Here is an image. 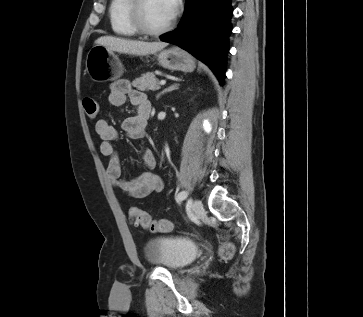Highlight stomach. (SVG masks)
<instances>
[{
  "mask_svg": "<svg viewBox=\"0 0 363 317\" xmlns=\"http://www.w3.org/2000/svg\"><path fill=\"white\" fill-rule=\"evenodd\" d=\"M159 64L171 71L192 72L195 68L193 57L178 47L163 50L157 54ZM86 71L95 82L119 79L123 65L114 51L102 45H95L86 57Z\"/></svg>",
  "mask_w": 363,
  "mask_h": 317,
  "instance_id": "0dacf381",
  "label": "stomach"
}]
</instances>
